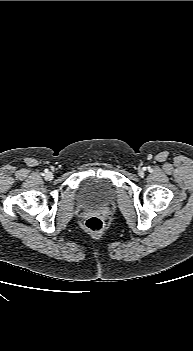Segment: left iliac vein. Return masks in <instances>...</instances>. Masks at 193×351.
Returning a JSON list of instances; mask_svg holds the SVG:
<instances>
[{
	"mask_svg": "<svg viewBox=\"0 0 193 351\" xmlns=\"http://www.w3.org/2000/svg\"><path fill=\"white\" fill-rule=\"evenodd\" d=\"M139 174L141 175V174H142V171H139Z\"/></svg>",
	"mask_w": 193,
	"mask_h": 351,
	"instance_id": "obj_1",
	"label": "left iliac vein"
}]
</instances>
